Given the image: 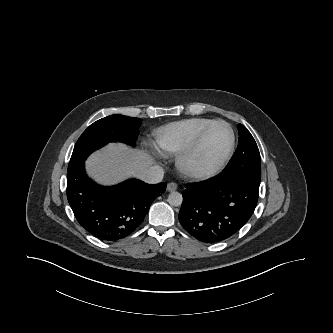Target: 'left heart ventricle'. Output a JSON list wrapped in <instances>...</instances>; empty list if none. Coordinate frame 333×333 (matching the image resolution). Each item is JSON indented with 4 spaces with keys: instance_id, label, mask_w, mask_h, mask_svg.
Listing matches in <instances>:
<instances>
[{
    "instance_id": "obj_1",
    "label": "left heart ventricle",
    "mask_w": 333,
    "mask_h": 333,
    "mask_svg": "<svg viewBox=\"0 0 333 333\" xmlns=\"http://www.w3.org/2000/svg\"><path fill=\"white\" fill-rule=\"evenodd\" d=\"M230 145V132L226 126L217 124L206 135L200 149L192 159V164L201 170L217 165Z\"/></svg>"
}]
</instances>
